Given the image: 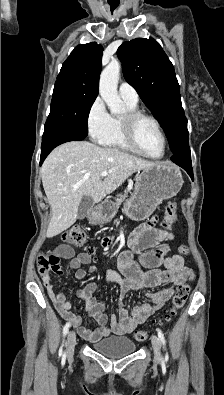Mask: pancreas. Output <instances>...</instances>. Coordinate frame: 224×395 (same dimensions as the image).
I'll return each instance as SVG.
<instances>
[{
  "label": "pancreas",
  "instance_id": "pancreas-1",
  "mask_svg": "<svg viewBox=\"0 0 224 395\" xmlns=\"http://www.w3.org/2000/svg\"><path fill=\"white\" fill-rule=\"evenodd\" d=\"M127 197H128V190H125L124 194L116 195L115 202L113 203V208L117 210L122 204V202L126 200Z\"/></svg>",
  "mask_w": 224,
  "mask_h": 395
}]
</instances>
